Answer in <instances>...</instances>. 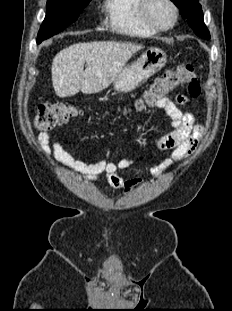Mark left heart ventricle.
<instances>
[{
    "instance_id": "obj_1",
    "label": "left heart ventricle",
    "mask_w": 232,
    "mask_h": 311,
    "mask_svg": "<svg viewBox=\"0 0 232 311\" xmlns=\"http://www.w3.org/2000/svg\"><path fill=\"white\" fill-rule=\"evenodd\" d=\"M148 15L160 26L169 25L173 19V11L165 0H152L148 6Z\"/></svg>"
}]
</instances>
